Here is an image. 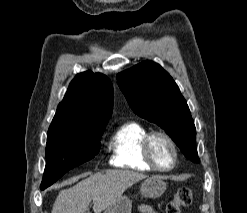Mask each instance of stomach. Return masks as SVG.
<instances>
[{
  "label": "stomach",
  "instance_id": "stomach-1",
  "mask_svg": "<svg viewBox=\"0 0 247 213\" xmlns=\"http://www.w3.org/2000/svg\"><path fill=\"white\" fill-rule=\"evenodd\" d=\"M166 190V184L159 177L153 176L141 183L140 193L145 198H158ZM132 201L122 196L114 204L105 209L104 213H131Z\"/></svg>",
  "mask_w": 247,
  "mask_h": 213
}]
</instances>
